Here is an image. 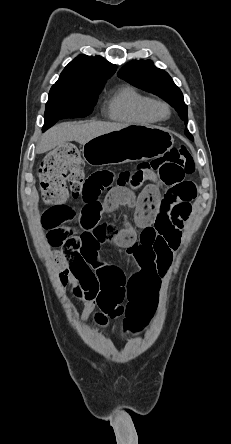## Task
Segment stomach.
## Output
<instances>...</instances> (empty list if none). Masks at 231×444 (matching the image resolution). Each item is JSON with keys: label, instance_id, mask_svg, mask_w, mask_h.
<instances>
[{"label": "stomach", "instance_id": "stomach-1", "mask_svg": "<svg viewBox=\"0 0 231 444\" xmlns=\"http://www.w3.org/2000/svg\"><path fill=\"white\" fill-rule=\"evenodd\" d=\"M173 144L174 139L168 130L133 124L91 139L83 145L82 156L90 165L121 164L160 157Z\"/></svg>", "mask_w": 231, "mask_h": 444}]
</instances>
